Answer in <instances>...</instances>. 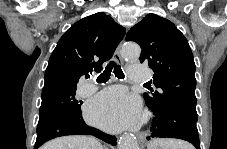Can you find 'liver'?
<instances>
[{
    "instance_id": "6515ba94",
    "label": "liver",
    "mask_w": 227,
    "mask_h": 149,
    "mask_svg": "<svg viewBox=\"0 0 227 149\" xmlns=\"http://www.w3.org/2000/svg\"><path fill=\"white\" fill-rule=\"evenodd\" d=\"M41 149H103V147L93 137L75 135L53 139Z\"/></svg>"
}]
</instances>
